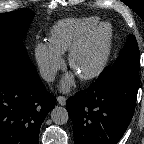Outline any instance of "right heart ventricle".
I'll return each instance as SVG.
<instances>
[{
    "mask_svg": "<svg viewBox=\"0 0 144 144\" xmlns=\"http://www.w3.org/2000/svg\"><path fill=\"white\" fill-rule=\"evenodd\" d=\"M99 24L97 17L68 18L58 21L49 33L50 44L61 54L88 30Z\"/></svg>",
    "mask_w": 144,
    "mask_h": 144,
    "instance_id": "1",
    "label": "right heart ventricle"
}]
</instances>
